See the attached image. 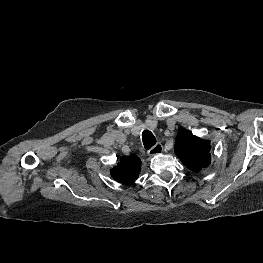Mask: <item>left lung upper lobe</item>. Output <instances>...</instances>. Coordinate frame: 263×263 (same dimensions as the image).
<instances>
[{
  "label": "left lung upper lobe",
  "mask_w": 263,
  "mask_h": 263,
  "mask_svg": "<svg viewBox=\"0 0 263 263\" xmlns=\"http://www.w3.org/2000/svg\"><path fill=\"white\" fill-rule=\"evenodd\" d=\"M210 149V141L193 135L189 130L181 129L176 136L175 154L188 169L194 172L211 163Z\"/></svg>",
  "instance_id": "1"
}]
</instances>
